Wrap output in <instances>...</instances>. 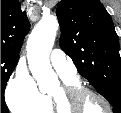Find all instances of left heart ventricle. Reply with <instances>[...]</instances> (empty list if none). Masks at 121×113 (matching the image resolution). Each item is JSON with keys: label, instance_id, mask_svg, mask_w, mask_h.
<instances>
[{"label": "left heart ventricle", "instance_id": "b2bd125f", "mask_svg": "<svg viewBox=\"0 0 121 113\" xmlns=\"http://www.w3.org/2000/svg\"><path fill=\"white\" fill-rule=\"evenodd\" d=\"M57 92L58 90L53 94H56ZM77 109L84 112L105 113V106L97 97L93 95H84Z\"/></svg>", "mask_w": 121, "mask_h": 113}]
</instances>
